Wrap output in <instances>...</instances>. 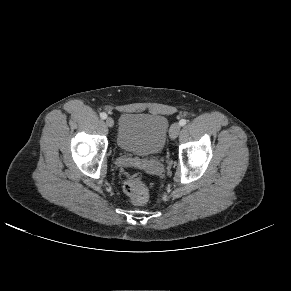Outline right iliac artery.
<instances>
[{"instance_id": "1", "label": "right iliac artery", "mask_w": 291, "mask_h": 291, "mask_svg": "<svg viewBox=\"0 0 291 291\" xmlns=\"http://www.w3.org/2000/svg\"><path fill=\"white\" fill-rule=\"evenodd\" d=\"M100 117H101L102 119H106V118H107V114L104 113V112H102V113L100 114Z\"/></svg>"}]
</instances>
